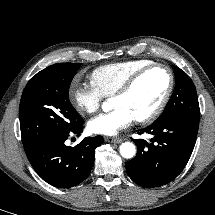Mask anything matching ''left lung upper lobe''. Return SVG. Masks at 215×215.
<instances>
[{"label": "left lung upper lobe", "instance_id": "5c2ea615", "mask_svg": "<svg viewBox=\"0 0 215 215\" xmlns=\"http://www.w3.org/2000/svg\"><path fill=\"white\" fill-rule=\"evenodd\" d=\"M175 71V89L163 113L155 121L171 118H183L199 122L200 109L194 83L180 68L173 66Z\"/></svg>", "mask_w": 215, "mask_h": 215}]
</instances>
